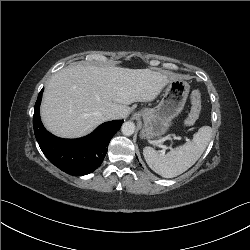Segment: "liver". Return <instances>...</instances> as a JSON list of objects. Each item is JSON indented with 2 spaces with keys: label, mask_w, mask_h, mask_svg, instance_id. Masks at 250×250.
Here are the masks:
<instances>
[{
  "label": "liver",
  "mask_w": 250,
  "mask_h": 250,
  "mask_svg": "<svg viewBox=\"0 0 250 250\" xmlns=\"http://www.w3.org/2000/svg\"><path fill=\"white\" fill-rule=\"evenodd\" d=\"M176 75L166 71L77 64L55 73L41 104V118L53 134L76 138L109 120L126 118L128 105L153 101Z\"/></svg>",
  "instance_id": "1"
}]
</instances>
